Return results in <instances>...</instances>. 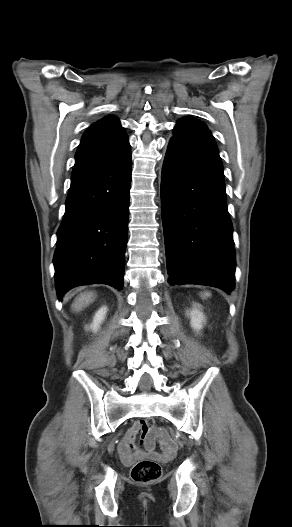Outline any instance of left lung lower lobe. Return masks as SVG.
<instances>
[{
	"instance_id": "left-lung-lower-lobe-1",
	"label": "left lung lower lobe",
	"mask_w": 292,
	"mask_h": 527,
	"mask_svg": "<svg viewBox=\"0 0 292 527\" xmlns=\"http://www.w3.org/2000/svg\"><path fill=\"white\" fill-rule=\"evenodd\" d=\"M170 285L234 289L235 251L218 154L170 142L161 178Z\"/></svg>"
}]
</instances>
